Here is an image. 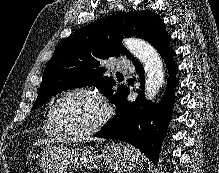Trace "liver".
<instances>
[{
  "mask_svg": "<svg viewBox=\"0 0 219 173\" xmlns=\"http://www.w3.org/2000/svg\"><path fill=\"white\" fill-rule=\"evenodd\" d=\"M92 140L99 141V139H96V138H93ZM44 142H45L44 140H39L35 143V145H40V144H43Z\"/></svg>",
  "mask_w": 219,
  "mask_h": 173,
  "instance_id": "obj_1",
  "label": "liver"
}]
</instances>
